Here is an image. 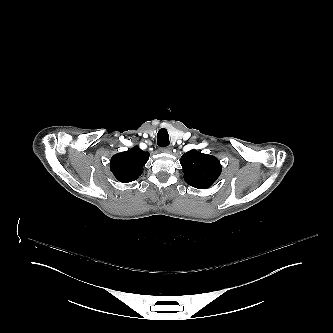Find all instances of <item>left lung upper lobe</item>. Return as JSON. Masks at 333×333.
I'll list each match as a JSON object with an SVG mask.
<instances>
[{
	"label": "left lung upper lobe",
	"mask_w": 333,
	"mask_h": 333,
	"mask_svg": "<svg viewBox=\"0 0 333 333\" xmlns=\"http://www.w3.org/2000/svg\"><path fill=\"white\" fill-rule=\"evenodd\" d=\"M180 163L187 184L198 188H209L221 173V164L214 156L190 150L182 155Z\"/></svg>",
	"instance_id": "obj_1"
}]
</instances>
